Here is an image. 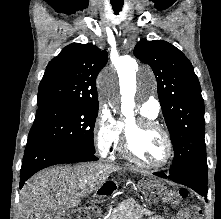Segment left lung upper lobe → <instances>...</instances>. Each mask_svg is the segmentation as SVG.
<instances>
[{
  "label": "left lung upper lobe",
  "instance_id": "left-lung-upper-lobe-1",
  "mask_svg": "<svg viewBox=\"0 0 221 219\" xmlns=\"http://www.w3.org/2000/svg\"><path fill=\"white\" fill-rule=\"evenodd\" d=\"M134 55L151 66L157 79L158 97L174 149L169 173L206 161L204 101L190 61L162 40H140Z\"/></svg>",
  "mask_w": 221,
  "mask_h": 219
}]
</instances>
